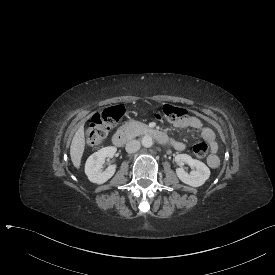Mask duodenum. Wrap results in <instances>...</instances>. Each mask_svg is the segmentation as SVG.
Segmentation results:
<instances>
[{
  "label": "duodenum",
  "mask_w": 275,
  "mask_h": 275,
  "mask_svg": "<svg viewBox=\"0 0 275 275\" xmlns=\"http://www.w3.org/2000/svg\"><path fill=\"white\" fill-rule=\"evenodd\" d=\"M147 134L154 137L160 143H167L169 141L167 134H165L164 132L157 130V129L150 128L147 130ZM128 140H129V136L127 135L126 132H124L122 130L117 131L112 136V143L116 147L124 146L128 142Z\"/></svg>",
  "instance_id": "duodenum-1"
}]
</instances>
